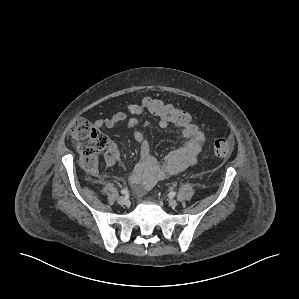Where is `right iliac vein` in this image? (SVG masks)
I'll return each instance as SVG.
<instances>
[{
    "mask_svg": "<svg viewBox=\"0 0 299 299\" xmlns=\"http://www.w3.org/2000/svg\"><path fill=\"white\" fill-rule=\"evenodd\" d=\"M118 203L120 205H127L128 204V198L124 197V196H120L118 199H117Z\"/></svg>",
    "mask_w": 299,
    "mask_h": 299,
    "instance_id": "obj_1",
    "label": "right iliac vein"
}]
</instances>
